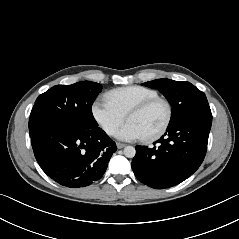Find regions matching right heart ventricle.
<instances>
[{"label": "right heart ventricle", "mask_w": 239, "mask_h": 239, "mask_svg": "<svg viewBox=\"0 0 239 239\" xmlns=\"http://www.w3.org/2000/svg\"><path fill=\"white\" fill-rule=\"evenodd\" d=\"M158 96L157 91L139 85L117 88L105 94V98L125 115L141 102Z\"/></svg>", "instance_id": "e07e8e85"}]
</instances>
